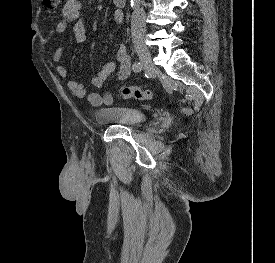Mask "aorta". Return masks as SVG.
<instances>
[{"label":"aorta","mask_w":275,"mask_h":263,"mask_svg":"<svg viewBox=\"0 0 275 263\" xmlns=\"http://www.w3.org/2000/svg\"><path fill=\"white\" fill-rule=\"evenodd\" d=\"M141 4V0H130L131 8H138Z\"/></svg>","instance_id":"1"}]
</instances>
